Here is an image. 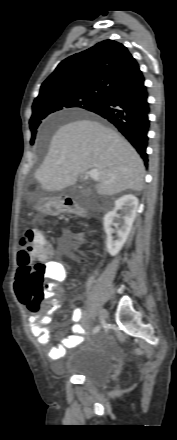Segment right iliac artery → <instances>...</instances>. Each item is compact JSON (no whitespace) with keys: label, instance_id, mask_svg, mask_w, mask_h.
<instances>
[{"label":"right iliac artery","instance_id":"right-iliac-artery-1","mask_svg":"<svg viewBox=\"0 0 177 440\" xmlns=\"http://www.w3.org/2000/svg\"><path fill=\"white\" fill-rule=\"evenodd\" d=\"M99 330H100V327H99V326H96V327L93 329V333H97Z\"/></svg>","mask_w":177,"mask_h":440}]
</instances>
